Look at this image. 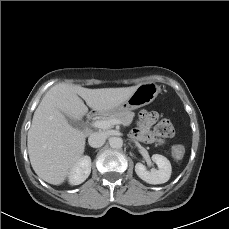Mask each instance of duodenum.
<instances>
[{
    "label": "duodenum",
    "mask_w": 229,
    "mask_h": 229,
    "mask_svg": "<svg viewBox=\"0 0 229 229\" xmlns=\"http://www.w3.org/2000/svg\"><path fill=\"white\" fill-rule=\"evenodd\" d=\"M93 119H94V116L93 115H90V116H88L87 121L88 122H91Z\"/></svg>",
    "instance_id": "410a0bca"
}]
</instances>
